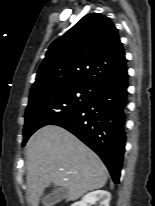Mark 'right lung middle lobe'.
<instances>
[{
  "label": "right lung middle lobe",
  "instance_id": "dd1d6c3e",
  "mask_svg": "<svg viewBox=\"0 0 155 206\" xmlns=\"http://www.w3.org/2000/svg\"><path fill=\"white\" fill-rule=\"evenodd\" d=\"M96 91L88 86L72 85L30 95L25 112L22 146L39 128L55 124L84 107L93 99Z\"/></svg>",
  "mask_w": 155,
  "mask_h": 206
}]
</instances>
